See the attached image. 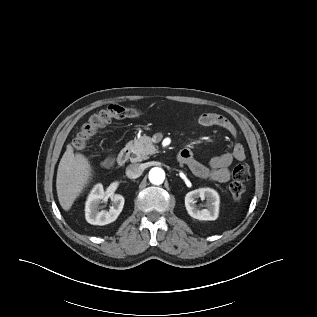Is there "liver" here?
Instances as JSON below:
<instances>
[{"label": "liver", "mask_w": 317, "mask_h": 317, "mask_svg": "<svg viewBox=\"0 0 317 317\" xmlns=\"http://www.w3.org/2000/svg\"><path fill=\"white\" fill-rule=\"evenodd\" d=\"M91 175L88 159L83 154H74L73 147L68 145L60 160L56 179L58 200L65 211L70 210Z\"/></svg>", "instance_id": "liver-1"}]
</instances>
